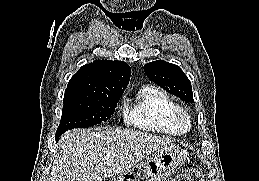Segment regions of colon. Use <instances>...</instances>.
I'll return each instance as SVG.
<instances>
[{
  "label": "colon",
  "instance_id": "obj_1",
  "mask_svg": "<svg viewBox=\"0 0 259 181\" xmlns=\"http://www.w3.org/2000/svg\"><path fill=\"white\" fill-rule=\"evenodd\" d=\"M203 175H202V169L200 165L193 164L189 165L185 171L172 181H202Z\"/></svg>",
  "mask_w": 259,
  "mask_h": 181
}]
</instances>
